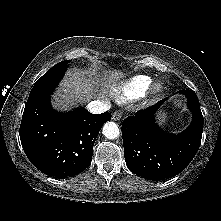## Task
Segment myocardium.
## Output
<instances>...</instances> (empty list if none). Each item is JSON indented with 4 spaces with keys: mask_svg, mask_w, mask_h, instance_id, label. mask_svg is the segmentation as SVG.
I'll return each instance as SVG.
<instances>
[{
    "mask_svg": "<svg viewBox=\"0 0 221 221\" xmlns=\"http://www.w3.org/2000/svg\"><path fill=\"white\" fill-rule=\"evenodd\" d=\"M165 90L164 84L160 81H155L150 87V95L155 98L160 96Z\"/></svg>",
    "mask_w": 221,
    "mask_h": 221,
    "instance_id": "1",
    "label": "myocardium"
}]
</instances>
